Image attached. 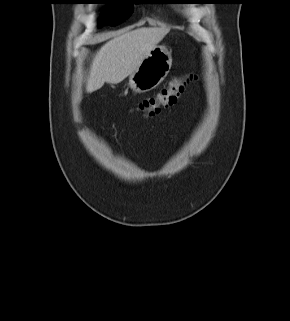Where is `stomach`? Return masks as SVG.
Returning a JSON list of instances; mask_svg holds the SVG:
<instances>
[{"label":"stomach","mask_w":290,"mask_h":321,"mask_svg":"<svg viewBox=\"0 0 290 321\" xmlns=\"http://www.w3.org/2000/svg\"><path fill=\"white\" fill-rule=\"evenodd\" d=\"M172 57L165 46H155L129 75V86L136 93H145L156 88L168 75Z\"/></svg>","instance_id":"stomach-1"}]
</instances>
